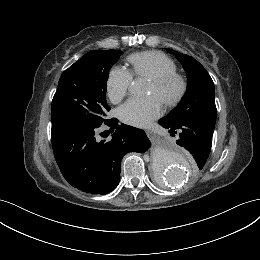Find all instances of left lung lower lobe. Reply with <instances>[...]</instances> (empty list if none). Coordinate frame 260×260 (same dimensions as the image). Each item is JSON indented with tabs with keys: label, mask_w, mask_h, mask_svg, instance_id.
<instances>
[{
	"label": "left lung lower lobe",
	"mask_w": 260,
	"mask_h": 260,
	"mask_svg": "<svg viewBox=\"0 0 260 260\" xmlns=\"http://www.w3.org/2000/svg\"><path fill=\"white\" fill-rule=\"evenodd\" d=\"M159 124L170 129L171 134L179 133L176 143L187 149L194 157L199 169H202L211 151L214 126L194 118L174 123L166 116L159 120Z\"/></svg>",
	"instance_id": "1"
}]
</instances>
